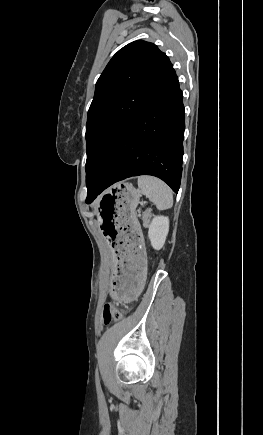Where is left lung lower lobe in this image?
Here are the masks:
<instances>
[{"mask_svg": "<svg viewBox=\"0 0 263 435\" xmlns=\"http://www.w3.org/2000/svg\"><path fill=\"white\" fill-rule=\"evenodd\" d=\"M183 95L175 75L133 119L93 183L86 203L120 180L153 175L178 192L184 138Z\"/></svg>", "mask_w": 263, "mask_h": 435, "instance_id": "obj_1", "label": "left lung lower lobe"}]
</instances>
